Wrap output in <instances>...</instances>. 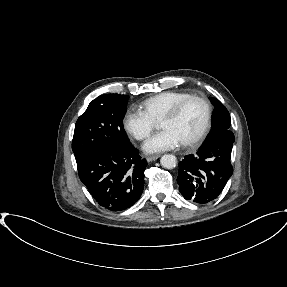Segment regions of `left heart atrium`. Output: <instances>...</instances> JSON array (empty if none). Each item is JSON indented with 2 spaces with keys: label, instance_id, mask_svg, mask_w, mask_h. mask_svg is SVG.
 Here are the masks:
<instances>
[{
  "label": "left heart atrium",
  "instance_id": "39dd6f15",
  "mask_svg": "<svg viewBox=\"0 0 287 287\" xmlns=\"http://www.w3.org/2000/svg\"><path fill=\"white\" fill-rule=\"evenodd\" d=\"M182 144L180 137L172 129H163L151 136L144 144L147 152H159L173 149Z\"/></svg>",
  "mask_w": 287,
  "mask_h": 287
}]
</instances>
